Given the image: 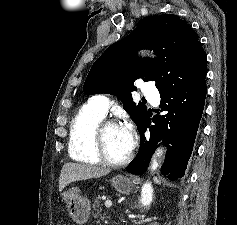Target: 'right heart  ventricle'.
<instances>
[{
  "label": "right heart ventricle",
  "instance_id": "e07e8e85",
  "mask_svg": "<svg viewBox=\"0 0 237 225\" xmlns=\"http://www.w3.org/2000/svg\"><path fill=\"white\" fill-rule=\"evenodd\" d=\"M104 117L92 100L85 103L73 117L68 144L69 155L73 160L86 164L100 162L95 152L93 131Z\"/></svg>",
  "mask_w": 237,
  "mask_h": 225
}]
</instances>
